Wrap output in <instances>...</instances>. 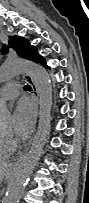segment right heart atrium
<instances>
[{"label": "right heart atrium", "mask_w": 89, "mask_h": 203, "mask_svg": "<svg viewBox=\"0 0 89 203\" xmlns=\"http://www.w3.org/2000/svg\"><path fill=\"white\" fill-rule=\"evenodd\" d=\"M8 141L10 142V144H11L12 146L15 145V141H14L12 138H8Z\"/></svg>", "instance_id": "1"}]
</instances>
